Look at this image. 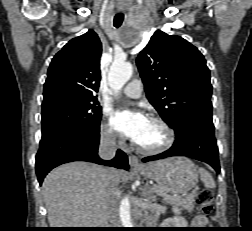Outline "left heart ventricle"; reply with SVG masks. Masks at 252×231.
I'll use <instances>...</instances> for the list:
<instances>
[{"label":"left heart ventricle","mask_w":252,"mask_h":231,"mask_svg":"<svg viewBox=\"0 0 252 231\" xmlns=\"http://www.w3.org/2000/svg\"><path fill=\"white\" fill-rule=\"evenodd\" d=\"M165 141L166 133L164 129L158 123L149 120L147 127L136 142L146 148H156Z\"/></svg>","instance_id":"obj_1"}]
</instances>
